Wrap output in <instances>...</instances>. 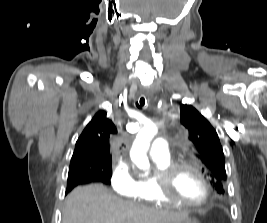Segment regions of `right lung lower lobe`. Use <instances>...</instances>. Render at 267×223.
Returning a JSON list of instances; mask_svg holds the SVG:
<instances>
[{
	"mask_svg": "<svg viewBox=\"0 0 267 223\" xmlns=\"http://www.w3.org/2000/svg\"><path fill=\"white\" fill-rule=\"evenodd\" d=\"M91 181L103 182L107 184L109 178L102 174L92 172H78L72 175H68L66 193H68L72 188L79 184H84Z\"/></svg>",
	"mask_w": 267,
	"mask_h": 223,
	"instance_id": "right-lung-lower-lobe-1",
	"label": "right lung lower lobe"
}]
</instances>
